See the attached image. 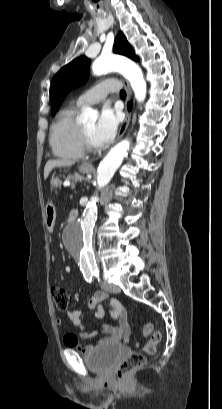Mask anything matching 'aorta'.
Instances as JSON below:
<instances>
[{
  "label": "aorta",
  "mask_w": 222,
  "mask_h": 409,
  "mask_svg": "<svg viewBox=\"0 0 222 409\" xmlns=\"http://www.w3.org/2000/svg\"><path fill=\"white\" fill-rule=\"evenodd\" d=\"M92 70L95 75H102L111 71L121 73L129 80L136 99L139 102L145 99L146 82L142 70L133 61L116 55L101 56L93 63ZM95 116V112L90 108H87L83 115L85 121L92 120ZM129 146V140L121 141L101 161L97 174L99 189L106 186L114 176L124 157L127 155ZM97 201L98 198L92 196L81 220L75 222L67 230L69 251L79 259L84 269L90 270L96 269L93 240L94 226L97 218Z\"/></svg>",
  "instance_id": "1"
}]
</instances>
